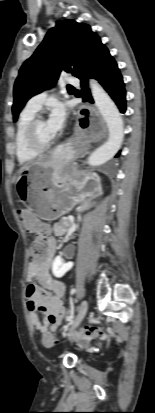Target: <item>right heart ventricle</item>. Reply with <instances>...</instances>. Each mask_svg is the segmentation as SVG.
Masks as SVG:
<instances>
[{"mask_svg": "<svg viewBox=\"0 0 155 413\" xmlns=\"http://www.w3.org/2000/svg\"><path fill=\"white\" fill-rule=\"evenodd\" d=\"M36 111L27 107L21 112L16 125L15 153L20 164L30 163L38 157V153L30 150L25 141V131L30 121L35 117Z\"/></svg>", "mask_w": 155, "mask_h": 413, "instance_id": "right-heart-ventricle-1", "label": "right heart ventricle"}]
</instances>
